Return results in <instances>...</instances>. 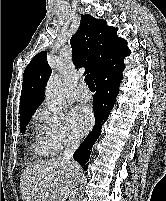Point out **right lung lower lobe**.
<instances>
[{"mask_svg": "<svg viewBox=\"0 0 166 201\" xmlns=\"http://www.w3.org/2000/svg\"><path fill=\"white\" fill-rule=\"evenodd\" d=\"M124 68L125 65L111 67L95 81L97 89L93 100L95 127L73 155V158L84 167V170L88 168L86 161L90 156L92 146L98 139L102 125L107 120L115 103Z\"/></svg>", "mask_w": 166, "mask_h": 201, "instance_id": "1", "label": "right lung lower lobe"}]
</instances>
